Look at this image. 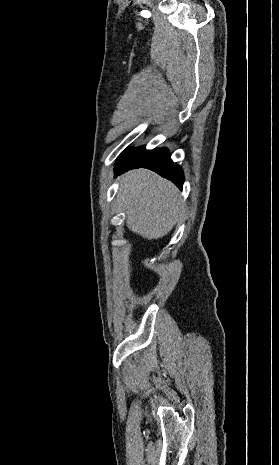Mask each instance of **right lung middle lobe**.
Wrapping results in <instances>:
<instances>
[{
    "label": "right lung middle lobe",
    "mask_w": 279,
    "mask_h": 465,
    "mask_svg": "<svg viewBox=\"0 0 279 465\" xmlns=\"http://www.w3.org/2000/svg\"><path fill=\"white\" fill-rule=\"evenodd\" d=\"M167 153L164 148L145 150L144 147L126 149L116 161V167H125L135 164H146L157 157Z\"/></svg>",
    "instance_id": "right-lung-middle-lobe-1"
}]
</instances>
